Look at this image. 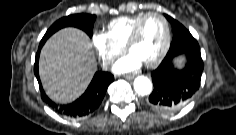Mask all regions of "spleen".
Returning a JSON list of instances; mask_svg holds the SVG:
<instances>
[{"label": "spleen", "mask_w": 236, "mask_h": 135, "mask_svg": "<svg viewBox=\"0 0 236 135\" xmlns=\"http://www.w3.org/2000/svg\"><path fill=\"white\" fill-rule=\"evenodd\" d=\"M177 62H178V64H182L183 63V59L182 58H179L178 60H177Z\"/></svg>", "instance_id": "spleen-1"}]
</instances>
